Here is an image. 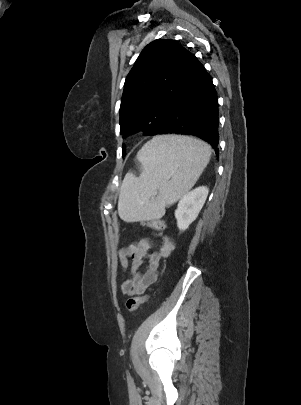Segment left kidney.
I'll use <instances>...</instances> for the list:
<instances>
[{
  "label": "left kidney",
  "instance_id": "1",
  "mask_svg": "<svg viewBox=\"0 0 301 405\" xmlns=\"http://www.w3.org/2000/svg\"><path fill=\"white\" fill-rule=\"evenodd\" d=\"M208 192L207 187L200 186L182 196L175 210L179 230H186L197 218L207 199Z\"/></svg>",
  "mask_w": 301,
  "mask_h": 405
}]
</instances>
